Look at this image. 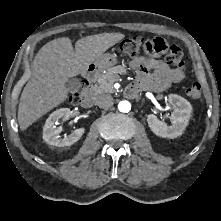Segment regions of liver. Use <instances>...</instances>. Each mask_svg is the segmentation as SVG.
I'll return each mask as SVG.
<instances>
[{"label": "liver", "instance_id": "liver-1", "mask_svg": "<svg viewBox=\"0 0 221 221\" xmlns=\"http://www.w3.org/2000/svg\"><path fill=\"white\" fill-rule=\"evenodd\" d=\"M122 37L119 33L86 36L76 42L75 50L66 37L45 44L34 58L32 77L21 94L18 106L20 129H27L63 103L68 96L66 83L69 78L86 73L89 65Z\"/></svg>", "mask_w": 221, "mask_h": 221}]
</instances>
